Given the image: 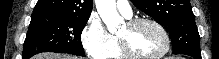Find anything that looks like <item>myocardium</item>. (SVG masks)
<instances>
[{"instance_id": "f54148a6", "label": "myocardium", "mask_w": 219, "mask_h": 59, "mask_svg": "<svg viewBox=\"0 0 219 59\" xmlns=\"http://www.w3.org/2000/svg\"><path fill=\"white\" fill-rule=\"evenodd\" d=\"M141 24H151L161 33V35L163 36V39H164L163 49L160 52H158L152 56H140V55L135 54L129 48V46L125 40H123L120 37H117L119 48H120L122 56L126 59H161V58L165 57L169 53L170 48H171V38H170V35H169L167 29L159 21H157L153 18H148V17L135 18V19H131L127 22V25L130 27H136V26L141 25Z\"/></svg>"}]
</instances>
